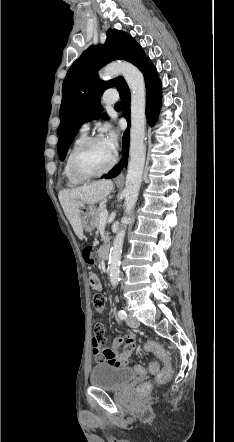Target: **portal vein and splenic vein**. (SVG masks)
<instances>
[{
  "instance_id": "portal-vein-and-splenic-vein-1",
  "label": "portal vein and splenic vein",
  "mask_w": 234,
  "mask_h": 442,
  "mask_svg": "<svg viewBox=\"0 0 234 442\" xmlns=\"http://www.w3.org/2000/svg\"><path fill=\"white\" fill-rule=\"evenodd\" d=\"M108 218V211L104 210L101 214H100V224L106 223Z\"/></svg>"
}]
</instances>
